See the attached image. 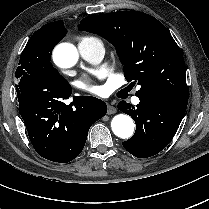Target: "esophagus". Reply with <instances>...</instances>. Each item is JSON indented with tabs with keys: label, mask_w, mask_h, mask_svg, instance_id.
Returning a JSON list of instances; mask_svg holds the SVG:
<instances>
[{
	"label": "esophagus",
	"mask_w": 209,
	"mask_h": 209,
	"mask_svg": "<svg viewBox=\"0 0 209 209\" xmlns=\"http://www.w3.org/2000/svg\"><path fill=\"white\" fill-rule=\"evenodd\" d=\"M116 111H117V109L114 106L108 104V109H107L108 114H114V113H116Z\"/></svg>",
	"instance_id": "esophagus-1"
}]
</instances>
